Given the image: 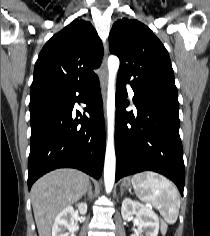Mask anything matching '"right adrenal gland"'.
Returning <instances> with one entry per match:
<instances>
[{"label": "right adrenal gland", "mask_w": 210, "mask_h": 236, "mask_svg": "<svg viewBox=\"0 0 210 236\" xmlns=\"http://www.w3.org/2000/svg\"><path fill=\"white\" fill-rule=\"evenodd\" d=\"M86 193L88 194L89 200H91L92 197H93V191H92V185H91V183H89V185H88V190L84 193V196H86Z\"/></svg>", "instance_id": "right-adrenal-gland-1"}]
</instances>
